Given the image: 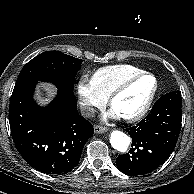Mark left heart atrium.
I'll return each mask as SVG.
<instances>
[{
    "label": "left heart atrium",
    "instance_id": "obj_1",
    "mask_svg": "<svg viewBox=\"0 0 194 194\" xmlns=\"http://www.w3.org/2000/svg\"><path fill=\"white\" fill-rule=\"evenodd\" d=\"M106 117H109V118H113V119H116V118H119L121 117L113 108L108 111L106 114H105Z\"/></svg>",
    "mask_w": 194,
    "mask_h": 194
}]
</instances>
